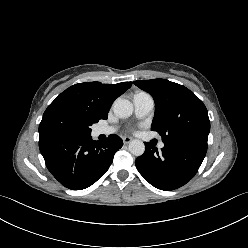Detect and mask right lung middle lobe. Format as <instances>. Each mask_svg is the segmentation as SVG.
I'll return each mask as SVG.
<instances>
[{"mask_svg": "<svg viewBox=\"0 0 248 248\" xmlns=\"http://www.w3.org/2000/svg\"><path fill=\"white\" fill-rule=\"evenodd\" d=\"M97 123L86 113L65 105L48 107L39 125V135L59 133L90 135V126Z\"/></svg>", "mask_w": 248, "mask_h": 248, "instance_id": "1", "label": "right lung middle lobe"}]
</instances>
